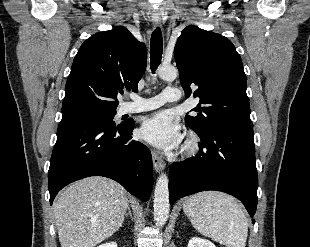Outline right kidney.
<instances>
[{
	"instance_id": "1",
	"label": "right kidney",
	"mask_w": 310,
	"mask_h": 247,
	"mask_svg": "<svg viewBox=\"0 0 310 247\" xmlns=\"http://www.w3.org/2000/svg\"><path fill=\"white\" fill-rule=\"evenodd\" d=\"M98 247H117V244L116 242H109V243L101 244Z\"/></svg>"
}]
</instances>
